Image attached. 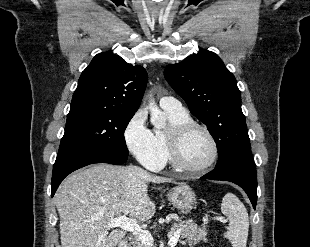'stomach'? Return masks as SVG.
Here are the masks:
<instances>
[{
    "label": "stomach",
    "instance_id": "obj_1",
    "mask_svg": "<svg viewBox=\"0 0 310 247\" xmlns=\"http://www.w3.org/2000/svg\"><path fill=\"white\" fill-rule=\"evenodd\" d=\"M168 199L172 206L182 214H188L196 203V196L192 188L181 185L168 192Z\"/></svg>",
    "mask_w": 310,
    "mask_h": 247
}]
</instances>
